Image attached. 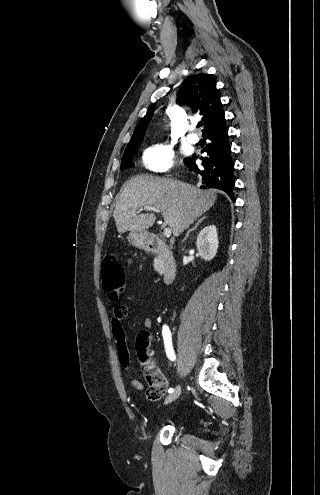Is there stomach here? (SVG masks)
Instances as JSON below:
<instances>
[{"mask_svg":"<svg viewBox=\"0 0 320 495\" xmlns=\"http://www.w3.org/2000/svg\"><path fill=\"white\" fill-rule=\"evenodd\" d=\"M129 243L137 248H144L149 244V234L143 231H131L128 235Z\"/></svg>","mask_w":320,"mask_h":495,"instance_id":"stomach-1","label":"stomach"}]
</instances>
